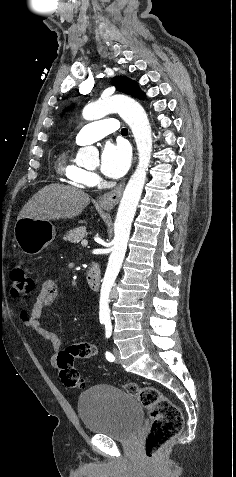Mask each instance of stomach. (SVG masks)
Here are the masks:
<instances>
[{"label": "stomach", "instance_id": "stomach-1", "mask_svg": "<svg viewBox=\"0 0 236 477\" xmlns=\"http://www.w3.org/2000/svg\"><path fill=\"white\" fill-rule=\"evenodd\" d=\"M55 236V227L48 220L24 217L17 220L14 227L15 240L20 249L28 255L39 254Z\"/></svg>", "mask_w": 236, "mask_h": 477}]
</instances>
